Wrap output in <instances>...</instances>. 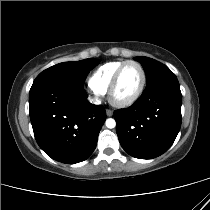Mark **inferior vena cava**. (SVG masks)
<instances>
[{
    "label": "inferior vena cava",
    "instance_id": "1",
    "mask_svg": "<svg viewBox=\"0 0 210 210\" xmlns=\"http://www.w3.org/2000/svg\"><path fill=\"white\" fill-rule=\"evenodd\" d=\"M91 103H94V104H99L100 101L97 100V99H89Z\"/></svg>",
    "mask_w": 210,
    "mask_h": 210
}]
</instances>
